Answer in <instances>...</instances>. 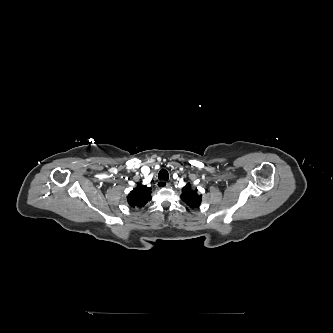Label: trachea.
Instances as JSON below:
<instances>
[{
    "label": "trachea",
    "instance_id": "3493384b",
    "mask_svg": "<svg viewBox=\"0 0 333 333\" xmlns=\"http://www.w3.org/2000/svg\"><path fill=\"white\" fill-rule=\"evenodd\" d=\"M159 180L167 181L169 179V174L165 169H161L158 174Z\"/></svg>",
    "mask_w": 333,
    "mask_h": 333
}]
</instances>
